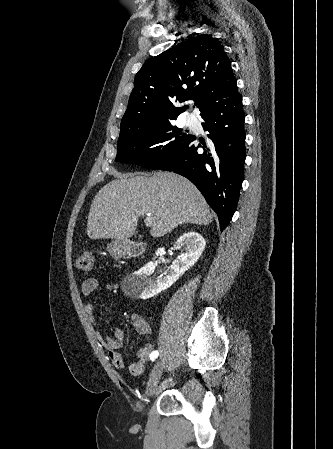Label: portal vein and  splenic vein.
<instances>
[{
	"label": "portal vein and splenic vein",
	"mask_w": 333,
	"mask_h": 449,
	"mask_svg": "<svg viewBox=\"0 0 333 449\" xmlns=\"http://www.w3.org/2000/svg\"><path fill=\"white\" fill-rule=\"evenodd\" d=\"M145 224L147 225V226H150L151 224H152V218H151V214H147V217H146V219H145Z\"/></svg>",
	"instance_id": "obj_1"
}]
</instances>
